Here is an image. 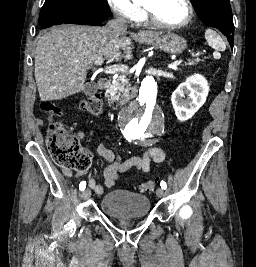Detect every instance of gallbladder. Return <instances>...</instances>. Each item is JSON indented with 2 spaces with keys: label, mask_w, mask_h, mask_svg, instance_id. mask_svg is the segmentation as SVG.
Returning <instances> with one entry per match:
<instances>
[{
  "label": "gallbladder",
  "mask_w": 256,
  "mask_h": 267,
  "mask_svg": "<svg viewBox=\"0 0 256 267\" xmlns=\"http://www.w3.org/2000/svg\"><path fill=\"white\" fill-rule=\"evenodd\" d=\"M96 90H97V86L95 82H88V84H85L84 94L85 96H92V94H94Z\"/></svg>",
  "instance_id": "bac80fb5"
}]
</instances>
